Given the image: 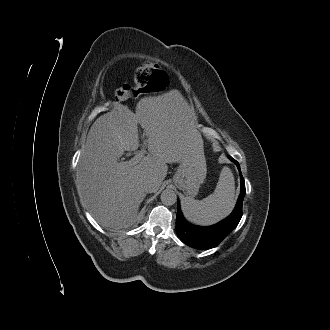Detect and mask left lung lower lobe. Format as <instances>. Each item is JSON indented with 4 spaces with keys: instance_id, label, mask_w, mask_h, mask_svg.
Instances as JSON below:
<instances>
[{
    "instance_id": "1",
    "label": "left lung lower lobe",
    "mask_w": 330,
    "mask_h": 330,
    "mask_svg": "<svg viewBox=\"0 0 330 330\" xmlns=\"http://www.w3.org/2000/svg\"><path fill=\"white\" fill-rule=\"evenodd\" d=\"M239 170L241 181V193L232 213L223 221L212 226H195L189 224L182 215L178 202L176 232L178 237L188 246L197 249H210L216 247L238 225L242 217V203L245 196V182L240 170L239 163L229 156Z\"/></svg>"
}]
</instances>
